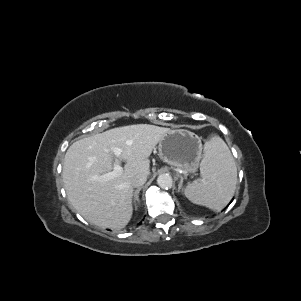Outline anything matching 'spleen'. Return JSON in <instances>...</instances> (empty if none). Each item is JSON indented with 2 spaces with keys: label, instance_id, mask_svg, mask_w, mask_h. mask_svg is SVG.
Returning <instances> with one entry per match:
<instances>
[{
  "label": "spleen",
  "instance_id": "obj_1",
  "mask_svg": "<svg viewBox=\"0 0 301 301\" xmlns=\"http://www.w3.org/2000/svg\"><path fill=\"white\" fill-rule=\"evenodd\" d=\"M200 173L201 179L185 188V196L194 204L221 211L235 193L237 168L228 146L219 136L205 143Z\"/></svg>",
  "mask_w": 301,
  "mask_h": 301
}]
</instances>
